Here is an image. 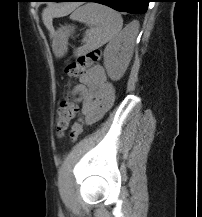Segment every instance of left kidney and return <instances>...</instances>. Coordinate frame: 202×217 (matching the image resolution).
Masks as SVG:
<instances>
[{
    "label": "left kidney",
    "mask_w": 202,
    "mask_h": 217,
    "mask_svg": "<svg viewBox=\"0 0 202 217\" xmlns=\"http://www.w3.org/2000/svg\"><path fill=\"white\" fill-rule=\"evenodd\" d=\"M134 42L135 36L129 33L128 27L106 46L104 66L111 80L118 81L123 77L131 61Z\"/></svg>",
    "instance_id": "left-kidney-1"
}]
</instances>
